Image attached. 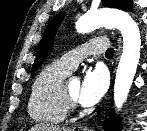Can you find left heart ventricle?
I'll return each mask as SVG.
<instances>
[{
	"label": "left heart ventricle",
	"instance_id": "obj_1",
	"mask_svg": "<svg viewBox=\"0 0 147 131\" xmlns=\"http://www.w3.org/2000/svg\"><path fill=\"white\" fill-rule=\"evenodd\" d=\"M67 88L71 96L77 100L80 89V81L78 79H71L67 81Z\"/></svg>",
	"mask_w": 147,
	"mask_h": 131
}]
</instances>
